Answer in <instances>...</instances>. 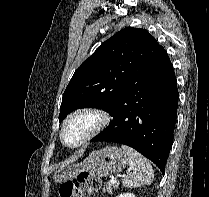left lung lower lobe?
Instances as JSON below:
<instances>
[{
	"label": "left lung lower lobe",
	"mask_w": 209,
	"mask_h": 197,
	"mask_svg": "<svg viewBox=\"0 0 209 197\" xmlns=\"http://www.w3.org/2000/svg\"><path fill=\"white\" fill-rule=\"evenodd\" d=\"M173 65L163 49L148 71L120 99L112 123L91 141L128 145L154 162L162 174L173 143L178 107Z\"/></svg>",
	"instance_id": "obj_1"
}]
</instances>
